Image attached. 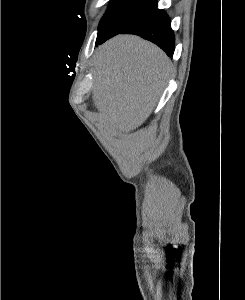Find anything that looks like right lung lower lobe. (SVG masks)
<instances>
[{"instance_id": "1", "label": "right lung lower lobe", "mask_w": 245, "mask_h": 300, "mask_svg": "<svg viewBox=\"0 0 245 300\" xmlns=\"http://www.w3.org/2000/svg\"><path fill=\"white\" fill-rule=\"evenodd\" d=\"M119 33L136 34L144 39L150 40L163 49L168 56H172L175 49V37L173 30L171 29L170 19L163 10L154 9L145 17L136 21ZM117 34L109 35L97 40L96 45L102 44L107 39Z\"/></svg>"}]
</instances>
